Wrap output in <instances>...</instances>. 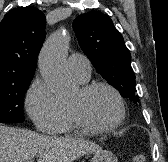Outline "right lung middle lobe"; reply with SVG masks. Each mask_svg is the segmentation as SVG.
Returning a JSON list of instances; mask_svg holds the SVG:
<instances>
[{"mask_svg":"<svg viewBox=\"0 0 168 162\" xmlns=\"http://www.w3.org/2000/svg\"><path fill=\"white\" fill-rule=\"evenodd\" d=\"M34 74L0 81V123L24 121V95Z\"/></svg>","mask_w":168,"mask_h":162,"instance_id":"dd1d6c3e","label":"right lung middle lobe"}]
</instances>
